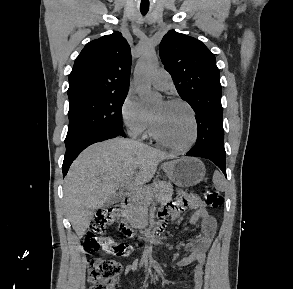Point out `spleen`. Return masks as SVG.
<instances>
[{
	"label": "spleen",
	"mask_w": 293,
	"mask_h": 289,
	"mask_svg": "<svg viewBox=\"0 0 293 289\" xmlns=\"http://www.w3.org/2000/svg\"><path fill=\"white\" fill-rule=\"evenodd\" d=\"M213 183L215 185V188L219 191H224L226 183L223 179V176L218 172L215 171L213 175Z\"/></svg>",
	"instance_id": "3e777b00"
}]
</instances>
